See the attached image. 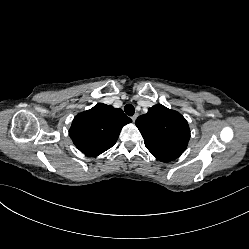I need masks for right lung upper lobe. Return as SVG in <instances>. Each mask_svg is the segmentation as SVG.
<instances>
[{
    "mask_svg": "<svg viewBox=\"0 0 249 249\" xmlns=\"http://www.w3.org/2000/svg\"><path fill=\"white\" fill-rule=\"evenodd\" d=\"M130 122L121 109L99 103L74 118L69 135L81 152L98 156L115 145L122 127Z\"/></svg>",
    "mask_w": 249,
    "mask_h": 249,
    "instance_id": "1",
    "label": "right lung upper lobe"
}]
</instances>
